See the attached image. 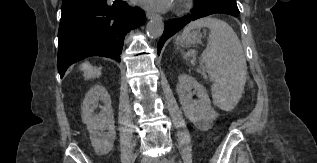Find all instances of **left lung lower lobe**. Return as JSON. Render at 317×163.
<instances>
[{"instance_id": "obj_1", "label": "left lung lower lobe", "mask_w": 317, "mask_h": 163, "mask_svg": "<svg viewBox=\"0 0 317 163\" xmlns=\"http://www.w3.org/2000/svg\"><path fill=\"white\" fill-rule=\"evenodd\" d=\"M223 13L233 17H238L239 13H234L221 8L204 7L201 2L196 3V8L191 15L185 16L180 19L169 20L166 22L165 30L158 43V54L160 53L165 41L173 36L176 32L182 29L186 24L201 17H205L211 14Z\"/></svg>"}]
</instances>
